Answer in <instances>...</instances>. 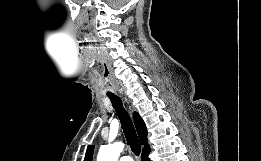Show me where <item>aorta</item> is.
Wrapping results in <instances>:
<instances>
[{"label":"aorta","mask_w":261,"mask_h":161,"mask_svg":"<svg viewBox=\"0 0 261 161\" xmlns=\"http://www.w3.org/2000/svg\"><path fill=\"white\" fill-rule=\"evenodd\" d=\"M123 148L124 144L122 142L102 145L97 156V161H118Z\"/></svg>","instance_id":"aorta-1"}]
</instances>
